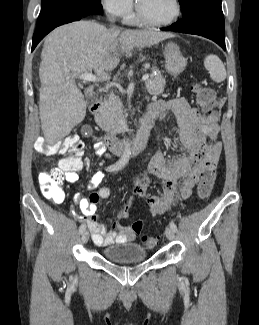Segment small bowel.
I'll use <instances>...</instances> for the list:
<instances>
[{"mask_svg":"<svg viewBox=\"0 0 259 325\" xmlns=\"http://www.w3.org/2000/svg\"><path fill=\"white\" fill-rule=\"evenodd\" d=\"M168 112H172L177 118L180 141L186 154L168 156L163 152H157L149 163L151 176H141L131 183L132 193L147 202L153 215L167 212L176 204L177 199L189 198L200 176L207 170L215 169L221 152V144L215 140L216 127L210 128L208 119L186 99L159 100L146 110V114L153 120L163 118ZM94 149L99 156L106 152V146L102 141H96ZM63 159L60 160V165L64 163ZM89 164L88 160L82 161L81 157L78 158L74 167L65 169L66 181L77 183L78 173ZM103 179V171L98 170L85 187L90 191L95 190ZM179 181L182 182L180 186ZM152 184L161 186L160 196L148 193V187ZM110 196L111 190L108 187L97 189L88 198L82 197L79 193L74 195V202L83 213L81 220L87 223L92 239L98 246L131 242L136 237V233L129 226L113 225L112 230L107 231L104 224L99 221L96 205L99 200Z\"/></svg>","mask_w":259,"mask_h":325,"instance_id":"1","label":"small bowel"}]
</instances>
